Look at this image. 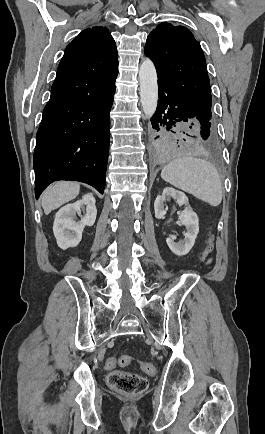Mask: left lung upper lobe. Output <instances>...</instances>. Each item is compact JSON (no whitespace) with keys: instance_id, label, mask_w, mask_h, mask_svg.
Returning <instances> with one entry per match:
<instances>
[{"instance_id":"obj_1","label":"left lung upper lobe","mask_w":265,"mask_h":434,"mask_svg":"<svg viewBox=\"0 0 265 434\" xmlns=\"http://www.w3.org/2000/svg\"><path fill=\"white\" fill-rule=\"evenodd\" d=\"M144 52L154 62L158 79L214 122L206 60L192 33L184 26L163 22L148 35Z\"/></svg>"}]
</instances>
